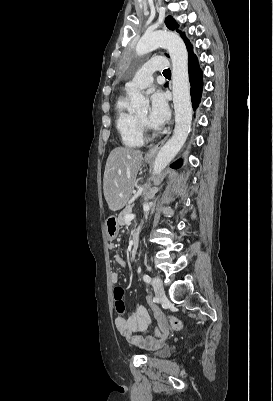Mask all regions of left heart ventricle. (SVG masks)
I'll list each match as a JSON object with an SVG mask.
<instances>
[{
	"instance_id": "b2bd125f",
	"label": "left heart ventricle",
	"mask_w": 273,
	"mask_h": 401,
	"mask_svg": "<svg viewBox=\"0 0 273 401\" xmlns=\"http://www.w3.org/2000/svg\"><path fill=\"white\" fill-rule=\"evenodd\" d=\"M146 114H147V111H144V112H142V113L137 114V116H138L140 119L146 121V118H147V115H146Z\"/></svg>"
}]
</instances>
